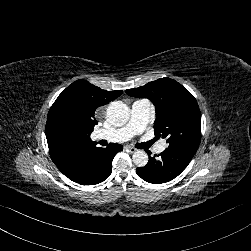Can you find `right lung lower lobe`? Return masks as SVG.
<instances>
[{"instance_id": "1", "label": "right lung lower lobe", "mask_w": 251, "mask_h": 251, "mask_svg": "<svg viewBox=\"0 0 251 251\" xmlns=\"http://www.w3.org/2000/svg\"><path fill=\"white\" fill-rule=\"evenodd\" d=\"M122 150V145L115 143H110L106 148L95 147L74 157L58 169L76 183L95 185L110 176L113 158Z\"/></svg>"}]
</instances>
